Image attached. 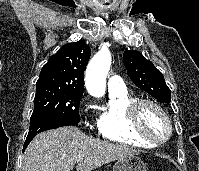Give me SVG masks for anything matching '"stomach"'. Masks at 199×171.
Segmentation results:
<instances>
[{"mask_svg": "<svg viewBox=\"0 0 199 171\" xmlns=\"http://www.w3.org/2000/svg\"><path fill=\"white\" fill-rule=\"evenodd\" d=\"M113 171H147V167L139 157L127 156L115 162Z\"/></svg>", "mask_w": 199, "mask_h": 171, "instance_id": "1", "label": "stomach"}]
</instances>
